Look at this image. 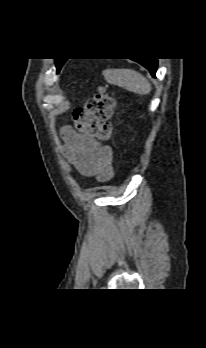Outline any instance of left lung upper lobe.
Here are the masks:
<instances>
[{
  "label": "left lung upper lobe",
  "mask_w": 206,
  "mask_h": 348,
  "mask_svg": "<svg viewBox=\"0 0 206 348\" xmlns=\"http://www.w3.org/2000/svg\"><path fill=\"white\" fill-rule=\"evenodd\" d=\"M64 62H65V60L56 59V67H57L58 70H60V68L62 67Z\"/></svg>",
  "instance_id": "1"
}]
</instances>
